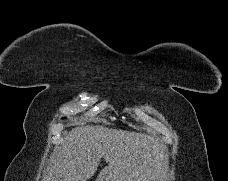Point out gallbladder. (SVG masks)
<instances>
[{
  "instance_id": "1",
  "label": "gallbladder",
  "mask_w": 228,
  "mask_h": 181,
  "mask_svg": "<svg viewBox=\"0 0 228 181\" xmlns=\"http://www.w3.org/2000/svg\"><path fill=\"white\" fill-rule=\"evenodd\" d=\"M56 181H63V179H60V177H58V179H56Z\"/></svg>"
}]
</instances>
